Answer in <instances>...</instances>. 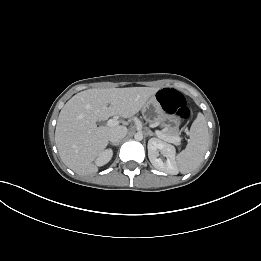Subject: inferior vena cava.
Instances as JSON below:
<instances>
[{
  "mask_svg": "<svg viewBox=\"0 0 261 261\" xmlns=\"http://www.w3.org/2000/svg\"><path fill=\"white\" fill-rule=\"evenodd\" d=\"M127 135V128L118 126L110 130L108 138L109 141L116 144L119 143Z\"/></svg>",
  "mask_w": 261,
  "mask_h": 261,
  "instance_id": "inferior-vena-cava-1",
  "label": "inferior vena cava"
}]
</instances>
